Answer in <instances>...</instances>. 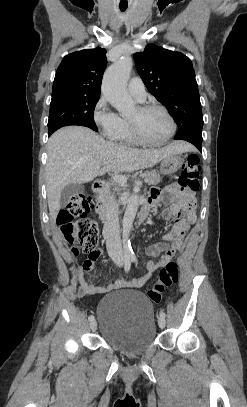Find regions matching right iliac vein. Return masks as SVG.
<instances>
[{"label":"right iliac vein","mask_w":247,"mask_h":407,"mask_svg":"<svg viewBox=\"0 0 247 407\" xmlns=\"http://www.w3.org/2000/svg\"><path fill=\"white\" fill-rule=\"evenodd\" d=\"M90 328H91L92 331H95V330H96V328H97V323H96L95 320L91 321V323H90Z\"/></svg>","instance_id":"obj_1"}]
</instances>
